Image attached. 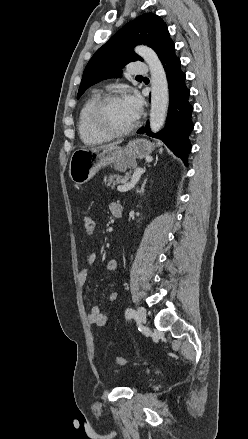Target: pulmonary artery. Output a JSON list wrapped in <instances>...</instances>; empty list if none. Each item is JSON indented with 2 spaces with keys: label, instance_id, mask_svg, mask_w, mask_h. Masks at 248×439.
Returning a JSON list of instances; mask_svg holds the SVG:
<instances>
[{
  "label": "pulmonary artery",
  "instance_id": "1",
  "mask_svg": "<svg viewBox=\"0 0 248 439\" xmlns=\"http://www.w3.org/2000/svg\"><path fill=\"white\" fill-rule=\"evenodd\" d=\"M130 73L138 76L146 75L149 73L148 66L144 62H133Z\"/></svg>",
  "mask_w": 248,
  "mask_h": 439
}]
</instances>
